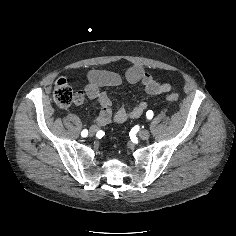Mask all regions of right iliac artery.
Segmentation results:
<instances>
[{
	"label": "right iliac artery",
	"mask_w": 236,
	"mask_h": 236,
	"mask_svg": "<svg viewBox=\"0 0 236 236\" xmlns=\"http://www.w3.org/2000/svg\"><path fill=\"white\" fill-rule=\"evenodd\" d=\"M88 135V130L87 129H84L82 132H81V136L82 137H86Z\"/></svg>",
	"instance_id": "right-iliac-artery-1"
}]
</instances>
